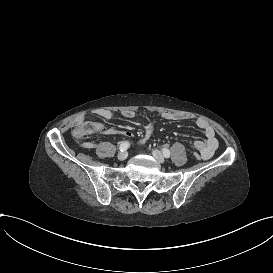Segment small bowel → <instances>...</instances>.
<instances>
[{"instance_id":"1","label":"small bowel","mask_w":273,"mask_h":273,"mask_svg":"<svg viewBox=\"0 0 273 273\" xmlns=\"http://www.w3.org/2000/svg\"><path fill=\"white\" fill-rule=\"evenodd\" d=\"M93 114L101 119L111 120L114 118V112L108 109H96ZM122 116L125 119H133L137 116V113L133 110H125L122 112ZM161 118L167 121H187L191 119V116L182 112H163L160 114ZM195 123L204 134V139L194 141L193 147L199 152L200 156L207 160L210 159L218 148V140L215 135L214 128L203 118H196ZM89 137L94 138L97 135L107 136L115 133L122 134L126 137H131L132 133L129 130L118 131L113 128L106 127L102 122H97L95 125L89 124L85 128ZM86 148H92L93 145H87L82 143Z\"/></svg>"}]
</instances>
